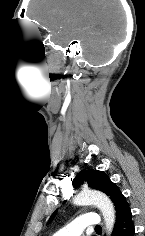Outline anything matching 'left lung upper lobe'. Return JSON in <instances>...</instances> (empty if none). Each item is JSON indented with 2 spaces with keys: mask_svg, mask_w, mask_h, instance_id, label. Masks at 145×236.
Instances as JSON below:
<instances>
[{
  "mask_svg": "<svg viewBox=\"0 0 145 236\" xmlns=\"http://www.w3.org/2000/svg\"><path fill=\"white\" fill-rule=\"evenodd\" d=\"M84 180L87 181L89 187L100 190L110 197L115 205L116 215L126 210L129 205L126 198L122 195L115 183L111 182L106 173L99 170H82L74 179L73 187H79ZM56 211L52 214L50 220L55 216Z\"/></svg>",
  "mask_w": 145,
  "mask_h": 236,
  "instance_id": "obj_1",
  "label": "left lung upper lobe"
}]
</instances>
